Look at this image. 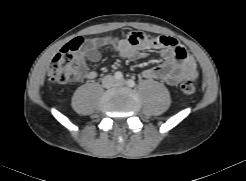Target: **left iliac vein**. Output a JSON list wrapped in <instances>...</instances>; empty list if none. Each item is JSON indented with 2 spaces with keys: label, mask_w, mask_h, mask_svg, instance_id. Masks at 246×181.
Segmentation results:
<instances>
[{
  "label": "left iliac vein",
  "mask_w": 246,
  "mask_h": 181,
  "mask_svg": "<svg viewBox=\"0 0 246 181\" xmlns=\"http://www.w3.org/2000/svg\"><path fill=\"white\" fill-rule=\"evenodd\" d=\"M125 84H126V81L125 80L118 81V85H125Z\"/></svg>",
  "instance_id": "left-iliac-vein-1"
}]
</instances>
